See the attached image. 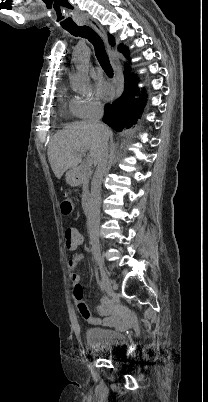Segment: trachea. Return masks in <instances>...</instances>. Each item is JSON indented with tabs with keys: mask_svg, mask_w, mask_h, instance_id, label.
Masks as SVG:
<instances>
[{
	"mask_svg": "<svg viewBox=\"0 0 208 402\" xmlns=\"http://www.w3.org/2000/svg\"><path fill=\"white\" fill-rule=\"evenodd\" d=\"M65 30L71 33V35H74V37L87 38V40H89V42H91L93 47L95 48V55L103 70L107 73V75L113 76V69L110 65L104 42L100 38L98 33H96L94 30H92V28L88 27L87 25H83L82 27H69Z\"/></svg>",
	"mask_w": 208,
	"mask_h": 402,
	"instance_id": "trachea-1",
	"label": "trachea"
}]
</instances>
